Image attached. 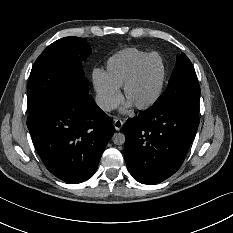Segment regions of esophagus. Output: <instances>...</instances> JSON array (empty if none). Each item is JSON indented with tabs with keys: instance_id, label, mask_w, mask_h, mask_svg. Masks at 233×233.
I'll use <instances>...</instances> for the list:
<instances>
[{
	"instance_id": "34e87169",
	"label": "esophagus",
	"mask_w": 233,
	"mask_h": 233,
	"mask_svg": "<svg viewBox=\"0 0 233 233\" xmlns=\"http://www.w3.org/2000/svg\"><path fill=\"white\" fill-rule=\"evenodd\" d=\"M122 126H123V122L121 119H116L114 121V127L117 131H119L122 128Z\"/></svg>"
}]
</instances>
